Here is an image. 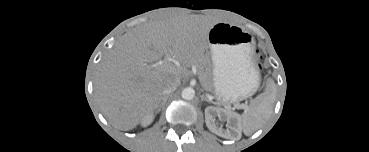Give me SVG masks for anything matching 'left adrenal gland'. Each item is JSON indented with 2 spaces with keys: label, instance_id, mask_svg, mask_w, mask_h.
<instances>
[{
  "label": "left adrenal gland",
  "instance_id": "a2214340",
  "mask_svg": "<svg viewBox=\"0 0 369 152\" xmlns=\"http://www.w3.org/2000/svg\"><path fill=\"white\" fill-rule=\"evenodd\" d=\"M201 100L210 102V100L205 95H201Z\"/></svg>",
  "mask_w": 369,
  "mask_h": 152
}]
</instances>
